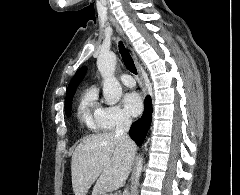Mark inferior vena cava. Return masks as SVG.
Here are the masks:
<instances>
[{"instance_id": "602c4592", "label": "inferior vena cava", "mask_w": 240, "mask_h": 195, "mask_svg": "<svg viewBox=\"0 0 240 195\" xmlns=\"http://www.w3.org/2000/svg\"><path fill=\"white\" fill-rule=\"evenodd\" d=\"M130 125H131L130 115H126V113H123L121 119H119L116 125L115 137H119V139H123L125 143H132V139H130L128 135ZM123 195H129L126 189Z\"/></svg>"}]
</instances>
